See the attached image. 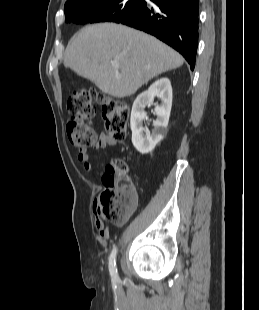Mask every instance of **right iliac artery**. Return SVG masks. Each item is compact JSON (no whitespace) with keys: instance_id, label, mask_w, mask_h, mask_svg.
<instances>
[{"instance_id":"right-iliac-artery-1","label":"right iliac artery","mask_w":259,"mask_h":310,"mask_svg":"<svg viewBox=\"0 0 259 310\" xmlns=\"http://www.w3.org/2000/svg\"><path fill=\"white\" fill-rule=\"evenodd\" d=\"M116 255H117V248L115 247L109 257V272L111 275L112 280L118 281V273L116 268Z\"/></svg>"}]
</instances>
